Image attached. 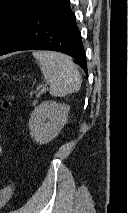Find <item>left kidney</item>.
I'll use <instances>...</instances> for the list:
<instances>
[{"label": "left kidney", "mask_w": 128, "mask_h": 213, "mask_svg": "<svg viewBox=\"0 0 128 213\" xmlns=\"http://www.w3.org/2000/svg\"><path fill=\"white\" fill-rule=\"evenodd\" d=\"M69 105L55 101H44L31 113L29 120L30 135L38 144H47L54 139L64 127ZM48 119L45 123L43 120Z\"/></svg>", "instance_id": "5707ae66"}]
</instances>
